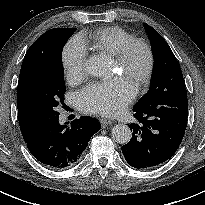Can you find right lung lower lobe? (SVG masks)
Here are the masks:
<instances>
[{
  "instance_id": "obj_1",
  "label": "right lung lower lobe",
  "mask_w": 205,
  "mask_h": 205,
  "mask_svg": "<svg viewBox=\"0 0 205 205\" xmlns=\"http://www.w3.org/2000/svg\"><path fill=\"white\" fill-rule=\"evenodd\" d=\"M58 118L59 115L41 124L25 142L38 161L63 169L77 163L90 138L100 130V124L95 118L84 116L67 127V123L60 125Z\"/></svg>"
}]
</instances>
